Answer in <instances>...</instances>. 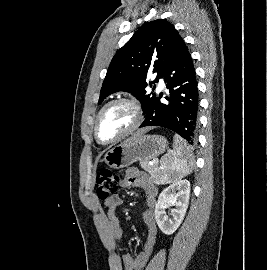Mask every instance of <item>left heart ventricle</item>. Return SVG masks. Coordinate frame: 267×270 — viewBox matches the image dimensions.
I'll use <instances>...</instances> for the list:
<instances>
[{
  "mask_svg": "<svg viewBox=\"0 0 267 270\" xmlns=\"http://www.w3.org/2000/svg\"><path fill=\"white\" fill-rule=\"evenodd\" d=\"M135 113L127 104H115L107 108L100 117L98 131L103 141L112 140L131 127Z\"/></svg>",
  "mask_w": 267,
  "mask_h": 270,
  "instance_id": "obj_1",
  "label": "left heart ventricle"
}]
</instances>
